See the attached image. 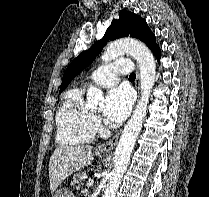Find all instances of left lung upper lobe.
<instances>
[{
	"mask_svg": "<svg viewBox=\"0 0 209 197\" xmlns=\"http://www.w3.org/2000/svg\"><path fill=\"white\" fill-rule=\"evenodd\" d=\"M119 15L118 20L111 22L103 38L96 41L90 49L76 57L67 67L63 75L59 93L69 85L77 74L92 63L109 40H115L121 37H133L145 42L151 50L157 46L155 36L143 18L126 10H121Z\"/></svg>",
	"mask_w": 209,
	"mask_h": 197,
	"instance_id": "5c2ea615",
	"label": "left lung upper lobe"
}]
</instances>
